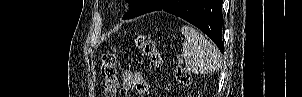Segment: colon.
I'll return each instance as SVG.
<instances>
[{
    "label": "colon",
    "mask_w": 302,
    "mask_h": 97,
    "mask_svg": "<svg viewBox=\"0 0 302 97\" xmlns=\"http://www.w3.org/2000/svg\"><path fill=\"white\" fill-rule=\"evenodd\" d=\"M139 51L145 55L155 67L162 66V57L154 43L144 35H138L135 40ZM117 56L114 53H106L102 56L101 73L104 80V93L106 97H114L118 89ZM174 75L177 81L183 85H189L190 75L182 68H176Z\"/></svg>",
    "instance_id": "colon-1"
}]
</instances>
